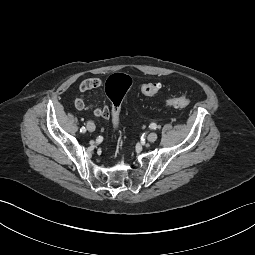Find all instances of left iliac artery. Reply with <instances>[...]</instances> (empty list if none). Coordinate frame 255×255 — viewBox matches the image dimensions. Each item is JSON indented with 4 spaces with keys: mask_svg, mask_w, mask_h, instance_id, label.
<instances>
[{
    "mask_svg": "<svg viewBox=\"0 0 255 255\" xmlns=\"http://www.w3.org/2000/svg\"><path fill=\"white\" fill-rule=\"evenodd\" d=\"M149 128L150 129H156L157 128V125L155 123H150L149 124Z\"/></svg>",
    "mask_w": 255,
    "mask_h": 255,
    "instance_id": "44dca946",
    "label": "left iliac artery"
}]
</instances>
